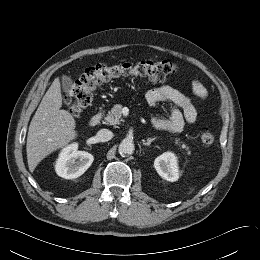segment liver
<instances>
[{"instance_id":"1","label":"liver","mask_w":260,"mask_h":260,"mask_svg":"<svg viewBox=\"0 0 260 260\" xmlns=\"http://www.w3.org/2000/svg\"><path fill=\"white\" fill-rule=\"evenodd\" d=\"M61 106L60 81L55 78L29 125L26 152L31 172L46 156L77 137L75 119Z\"/></svg>"}]
</instances>
